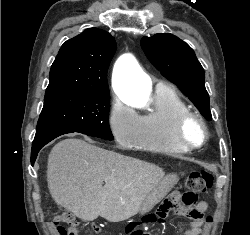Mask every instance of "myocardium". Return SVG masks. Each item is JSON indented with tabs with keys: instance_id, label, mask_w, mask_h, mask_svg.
<instances>
[{
	"instance_id": "myocardium-1",
	"label": "myocardium",
	"mask_w": 250,
	"mask_h": 235,
	"mask_svg": "<svg viewBox=\"0 0 250 235\" xmlns=\"http://www.w3.org/2000/svg\"><path fill=\"white\" fill-rule=\"evenodd\" d=\"M192 121H195L199 124L203 133L201 141L197 144L189 143L185 137V128ZM208 137H209L208 127L206 125L205 120L200 114L189 110L187 112L180 114L177 117L174 124V138L178 143V145L181 146L186 151H195L202 148L207 143Z\"/></svg>"
}]
</instances>
